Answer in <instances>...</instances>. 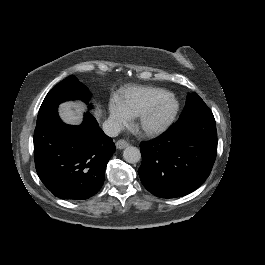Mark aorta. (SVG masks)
Instances as JSON below:
<instances>
[{"mask_svg":"<svg viewBox=\"0 0 265 265\" xmlns=\"http://www.w3.org/2000/svg\"><path fill=\"white\" fill-rule=\"evenodd\" d=\"M123 158L128 163H137L141 159L140 150L137 147L128 146L123 151Z\"/></svg>","mask_w":265,"mask_h":265,"instance_id":"1","label":"aorta"}]
</instances>
